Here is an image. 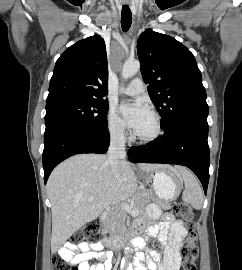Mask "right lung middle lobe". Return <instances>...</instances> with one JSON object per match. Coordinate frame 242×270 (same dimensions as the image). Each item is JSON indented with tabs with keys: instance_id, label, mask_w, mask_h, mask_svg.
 I'll return each mask as SVG.
<instances>
[{
	"instance_id": "1",
	"label": "right lung middle lobe",
	"mask_w": 242,
	"mask_h": 270,
	"mask_svg": "<svg viewBox=\"0 0 242 270\" xmlns=\"http://www.w3.org/2000/svg\"><path fill=\"white\" fill-rule=\"evenodd\" d=\"M108 104L103 100H67L46 105V127L59 122H75L93 128L107 125Z\"/></svg>"
}]
</instances>
